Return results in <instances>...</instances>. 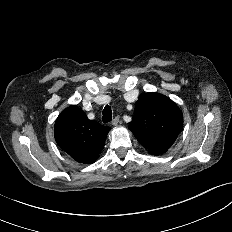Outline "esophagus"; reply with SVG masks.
<instances>
[{
	"mask_svg": "<svg viewBox=\"0 0 232 232\" xmlns=\"http://www.w3.org/2000/svg\"><path fill=\"white\" fill-rule=\"evenodd\" d=\"M119 120H120L119 116H116V117L113 118L111 124H112L113 126H117L118 123H119Z\"/></svg>",
	"mask_w": 232,
	"mask_h": 232,
	"instance_id": "obj_1",
	"label": "esophagus"
}]
</instances>
